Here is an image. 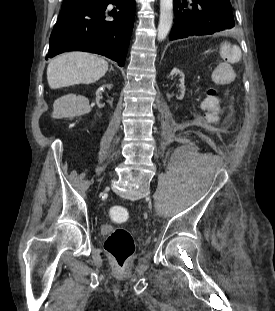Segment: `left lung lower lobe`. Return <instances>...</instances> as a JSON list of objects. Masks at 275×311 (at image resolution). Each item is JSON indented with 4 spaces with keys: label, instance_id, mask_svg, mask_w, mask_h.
Returning a JSON list of instances; mask_svg holds the SVG:
<instances>
[{
    "label": "left lung lower lobe",
    "instance_id": "obj_1",
    "mask_svg": "<svg viewBox=\"0 0 275 311\" xmlns=\"http://www.w3.org/2000/svg\"><path fill=\"white\" fill-rule=\"evenodd\" d=\"M174 10L170 40L214 34L235 26L229 0H175Z\"/></svg>",
    "mask_w": 275,
    "mask_h": 311
}]
</instances>
